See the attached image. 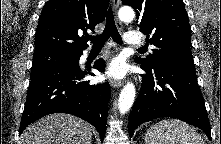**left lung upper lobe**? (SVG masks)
<instances>
[{
	"label": "left lung upper lobe",
	"mask_w": 221,
	"mask_h": 144,
	"mask_svg": "<svg viewBox=\"0 0 221 144\" xmlns=\"http://www.w3.org/2000/svg\"><path fill=\"white\" fill-rule=\"evenodd\" d=\"M137 13L140 31L154 46L153 53L137 63L152 67L174 65L195 71L190 51L191 27L182 0H122Z\"/></svg>",
	"instance_id": "obj_1"
}]
</instances>
